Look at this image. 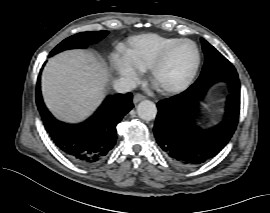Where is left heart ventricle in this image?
I'll use <instances>...</instances> for the list:
<instances>
[{
  "label": "left heart ventricle",
  "mask_w": 270,
  "mask_h": 213,
  "mask_svg": "<svg viewBox=\"0 0 270 213\" xmlns=\"http://www.w3.org/2000/svg\"><path fill=\"white\" fill-rule=\"evenodd\" d=\"M196 63L194 47L182 43L175 47L168 59L157 71L155 81L158 86H173L184 81Z\"/></svg>",
  "instance_id": "left-heart-ventricle-1"
}]
</instances>
